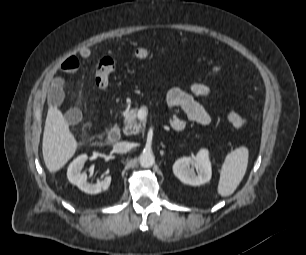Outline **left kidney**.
<instances>
[{
  "label": "left kidney",
  "mask_w": 306,
  "mask_h": 255,
  "mask_svg": "<svg viewBox=\"0 0 306 255\" xmlns=\"http://www.w3.org/2000/svg\"><path fill=\"white\" fill-rule=\"evenodd\" d=\"M173 172L181 182L192 186L209 182L212 170L208 150L200 149L196 156L178 159L173 164Z\"/></svg>",
  "instance_id": "5707ae66"
}]
</instances>
